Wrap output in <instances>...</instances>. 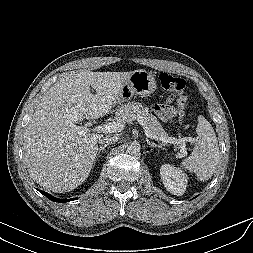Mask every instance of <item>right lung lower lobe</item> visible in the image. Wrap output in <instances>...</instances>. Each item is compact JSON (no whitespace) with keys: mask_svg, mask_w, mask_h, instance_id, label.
Returning a JSON list of instances; mask_svg holds the SVG:
<instances>
[{"mask_svg":"<svg viewBox=\"0 0 253 253\" xmlns=\"http://www.w3.org/2000/svg\"><path fill=\"white\" fill-rule=\"evenodd\" d=\"M43 195H45L48 199H50L51 201H54V202H68V201H72L74 199H58V198H55L51 195H49L48 193L44 192V191H40Z\"/></svg>","mask_w":253,"mask_h":253,"instance_id":"1","label":"right lung lower lobe"}]
</instances>
